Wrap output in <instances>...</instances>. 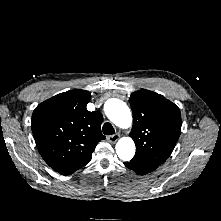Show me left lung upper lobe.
I'll return each mask as SVG.
<instances>
[{"label": "left lung upper lobe", "instance_id": "obj_1", "mask_svg": "<svg viewBox=\"0 0 221 221\" xmlns=\"http://www.w3.org/2000/svg\"><path fill=\"white\" fill-rule=\"evenodd\" d=\"M129 101L134 120L130 136L136 144L133 159L159 166L170 156L180 136V110L149 90L132 93Z\"/></svg>", "mask_w": 221, "mask_h": 221}]
</instances>
